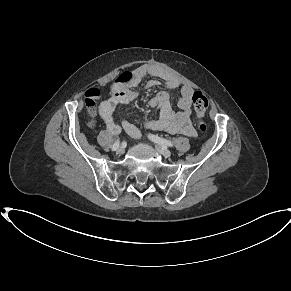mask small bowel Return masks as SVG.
I'll list each match as a JSON object with an SVG mask.
<instances>
[{"mask_svg":"<svg viewBox=\"0 0 291 291\" xmlns=\"http://www.w3.org/2000/svg\"><path fill=\"white\" fill-rule=\"evenodd\" d=\"M146 76L154 78L148 82V86H155L160 80L168 90L159 92L149 101L150 107L159 110V117L157 119L142 118L140 121L153 130L166 131L171 134L180 133L189 137L196 136V131L190 122L193 89L188 85L180 87L177 101L179 110H173L170 90L179 87L180 82L174 75L156 64L139 66L131 73L129 80L115 82L110 86V97L108 99L97 100V113L107 130L112 134H117L123 129L133 138L139 139L142 137L141 131L136 126L126 120L118 122L114 113L117 106L128 104L134 99L133 87ZM94 88L99 89L98 87Z\"/></svg>","mask_w":291,"mask_h":291,"instance_id":"obj_1","label":"small bowel"}]
</instances>
